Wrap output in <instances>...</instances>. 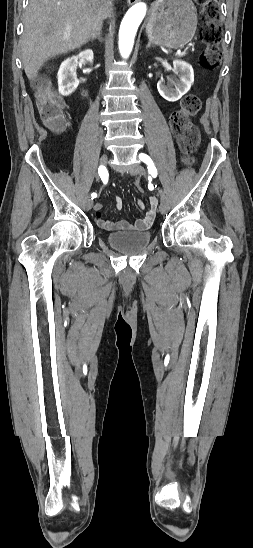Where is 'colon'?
I'll return each instance as SVG.
<instances>
[{"instance_id":"5ec220e1","label":"colon","mask_w":253,"mask_h":548,"mask_svg":"<svg viewBox=\"0 0 253 548\" xmlns=\"http://www.w3.org/2000/svg\"><path fill=\"white\" fill-rule=\"evenodd\" d=\"M201 8L205 21L201 37L206 49L200 57V64L206 70L216 68L221 59L219 44L222 34L219 24L218 0H196ZM36 102L41 119L51 128L61 129L64 125V106L61 98L54 91L49 79L40 77L33 83ZM202 102L197 94L191 93L183 97L180 107L171 115L170 126L179 141L186 163L191 162L193 154L200 143V134L191 118L201 109ZM138 192L144 193L141 177L135 176Z\"/></svg>"}]
</instances>
